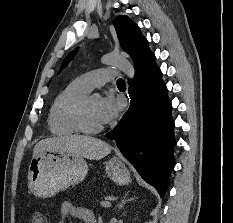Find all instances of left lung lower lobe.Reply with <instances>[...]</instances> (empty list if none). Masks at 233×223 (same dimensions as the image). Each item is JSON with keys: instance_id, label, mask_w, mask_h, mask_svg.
I'll use <instances>...</instances> for the list:
<instances>
[{"instance_id": "obj_1", "label": "left lung lower lobe", "mask_w": 233, "mask_h": 223, "mask_svg": "<svg viewBox=\"0 0 233 223\" xmlns=\"http://www.w3.org/2000/svg\"><path fill=\"white\" fill-rule=\"evenodd\" d=\"M135 79L129 81L131 105L113 131L106 134L142 178L164 196L174 168L171 102L155 56L146 47L135 62Z\"/></svg>"}]
</instances>
